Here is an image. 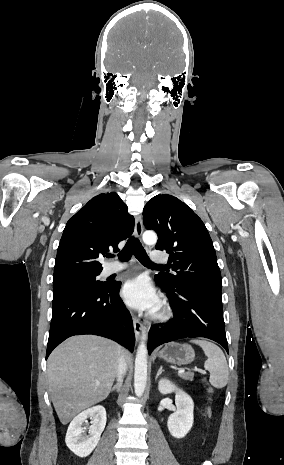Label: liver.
Masks as SVG:
<instances>
[{
	"instance_id": "1",
	"label": "liver",
	"mask_w": 284,
	"mask_h": 465,
	"mask_svg": "<svg viewBox=\"0 0 284 465\" xmlns=\"http://www.w3.org/2000/svg\"><path fill=\"white\" fill-rule=\"evenodd\" d=\"M120 347L102 337H71L48 359V387L54 409L68 425L78 413L108 397ZM126 361L132 355L124 351Z\"/></svg>"
}]
</instances>
